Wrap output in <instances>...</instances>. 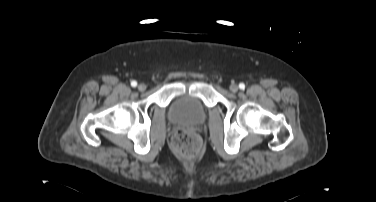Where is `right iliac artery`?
Returning <instances> with one entry per match:
<instances>
[{"label": "right iliac artery", "instance_id": "82829eb1", "mask_svg": "<svg viewBox=\"0 0 376 202\" xmlns=\"http://www.w3.org/2000/svg\"><path fill=\"white\" fill-rule=\"evenodd\" d=\"M131 86H132V87H136V86H137V82L133 80V81L131 82Z\"/></svg>", "mask_w": 376, "mask_h": 202}]
</instances>
